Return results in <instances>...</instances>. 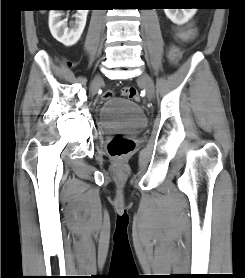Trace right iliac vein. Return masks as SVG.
<instances>
[{"label":"right iliac vein","mask_w":245,"mask_h":278,"mask_svg":"<svg viewBox=\"0 0 245 278\" xmlns=\"http://www.w3.org/2000/svg\"><path fill=\"white\" fill-rule=\"evenodd\" d=\"M101 83H102V77L100 75H97L94 78L92 86H91V93L92 94H95L97 92L98 87L100 86Z\"/></svg>","instance_id":"obj_1"}]
</instances>
